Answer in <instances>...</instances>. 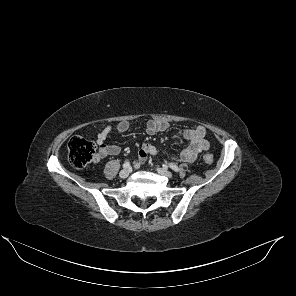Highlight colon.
<instances>
[{
  "instance_id": "1",
  "label": "colon",
  "mask_w": 296,
  "mask_h": 296,
  "mask_svg": "<svg viewBox=\"0 0 296 296\" xmlns=\"http://www.w3.org/2000/svg\"><path fill=\"white\" fill-rule=\"evenodd\" d=\"M68 158L76 168H83L97 159V149L94 142L79 136H74L68 143ZM206 164L213 163V156L210 153L203 155Z\"/></svg>"
}]
</instances>
